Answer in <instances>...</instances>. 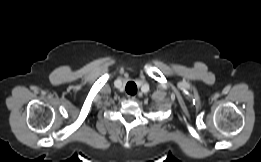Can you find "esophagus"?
I'll use <instances>...</instances> for the list:
<instances>
[{
    "label": "esophagus",
    "instance_id": "esophagus-1",
    "mask_svg": "<svg viewBox=\"0 0 261 162\" xmlns=\"http://www.w3.org/2000/svg\"><path fill=\"white\" fill-rule=\"evenodd\" d=\"M127 97H128V99H130V100H135V99H136V97H135V96H132V95H128Z\"/></svg>",
    "mask_w": 261,
    "mask_h": 162
}]
</instances>
